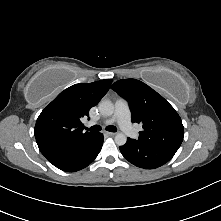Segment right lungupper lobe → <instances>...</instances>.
<instances>
[{
  "label": "right lung upper lobe",
  "mask_w": 221,
  "mask_h": 221,
  "mask_svg": "<svg viewBox=\"0 0 221 221\" xmlns=\"http://www.w3.org/2000/svg\"><path fill=\"white\" fill-rule=\"evenodd\" d=\"M112 79L75 84L62 91L39 115L34 128L41 153L54 164L96 133L83 132V117L107 93Z\"/></svg>",
  "instance_id": "right-lung-upper-lobe-1"
}]
</instances>
